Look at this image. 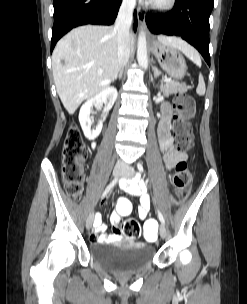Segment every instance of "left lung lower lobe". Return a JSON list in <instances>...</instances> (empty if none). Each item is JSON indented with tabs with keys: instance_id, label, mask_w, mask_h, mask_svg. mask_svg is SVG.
<instances>
[{
	"instance_id": "obj_1",
	"label": "left lung lower lobe",
	"mask_w": 247,
	"mask_h": 304,
	"mask_svg": "<svg viewBox=\"0 0 247 304\" xmlns=\"http://www.w3.org/2000/svg\"><path fill=\"white\" fill-rule=\"evenodd\" d=\"M214 0H176L166 14H147L146 22L154 34L180 36L202 54L210 66L209 17Z\"/></svg>"
}]
</instances>
